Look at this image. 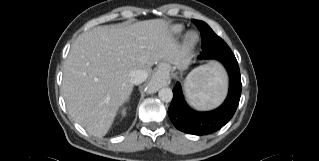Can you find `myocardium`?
I'll use <instances>...</instances> for the list:
<instances>
[{"mask_svg": "<svg viewBox=\"0 0 319 161\" xmlns=\"http://www.w3.org/2000/svg\"><path fill=\"white\" fill-rule=\"evenodd\" d=\"M198 41V35L195 32H190L187 35L186 43L189 47L194 46Z\"/></svg>", "mask_w": 319, "mask_h": 161, "instance_id": "f54148a6", "label": "myocardium"}]
</instances>
